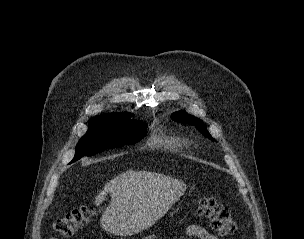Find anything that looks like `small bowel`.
I'll return each instance as SVG.
<instances>
[{"mask_svg": "<svg viewBox=\"0 0 304 239\" xmlns=\"http://www.w3.org/2000/svg\"><path fill=\"white\" fill-rule=\"evenodd\" d=\"M185 237L191 239H218L215 235L209 233L206 229L198 225H191L186 229ZM182 237L181 239H184ZM50 239H58L56 237H51Z\"/></svg>", "mask_w": 304, "mask_h": 239, "instance_id": "c3829d8e", "label": "small bowel"}]
</instances>
